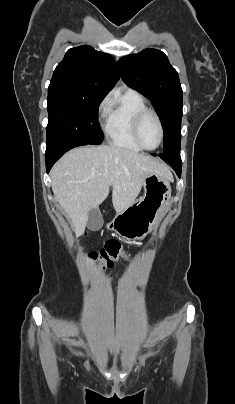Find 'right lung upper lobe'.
Here are the masks:
<instances>
[{"label":"right lung upper lobe","mask_w":235,"mask_h":404,"mask_svg":"<svg viewBox=\"0 0 235 404\" xmlns=\"http://www.w3.org/2000/svg\"><path fill=\"white\" fill-rule=\"evenodd\" d=\"M119 79L114 59L83 45L69 49L56 67L48 89L104 98Z\"/></svg>","instance_id":"1"}]
</instances>
